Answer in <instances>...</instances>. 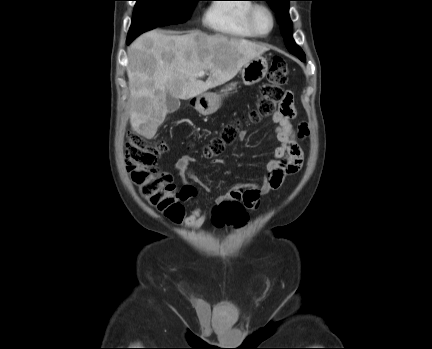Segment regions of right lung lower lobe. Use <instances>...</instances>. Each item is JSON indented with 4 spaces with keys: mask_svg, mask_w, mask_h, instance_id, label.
Segmentation results:
<instances>
[{
    "mask_svg": "<svg viewBox=\"0 0 432 349\" xmlns=\"http://www.w3.org/2000/svg\"><path fill=\"white\" fill-rule=\"evenodd\" d=\"M130 42L127 40V44H129Z\"/></svg>",
    "mask_w": 432,
    "mask_h": 349,
    "instance_id": "1",
    "label": "right lung lower lobe"
}]
</instances>
